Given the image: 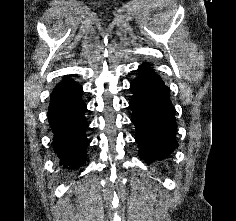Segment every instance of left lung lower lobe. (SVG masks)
<instances>
[{"instance_id": "1", "label": "left lung lower lobe", "mask_w": 236, "mask_h": 221, "mask_svg": "<svg viewBox=\"0 0 236 221\" xmlns=\"http://www.w3.org/2000/svg\"><path fill=\"white\" fill-rule=\"evenodd\" d=\"M139 76L131 83L132 122L136 141L146 162L170 154L178 143L174 107L169 89L148 63L139 66Z\"/></svg>"}]
</instances>
